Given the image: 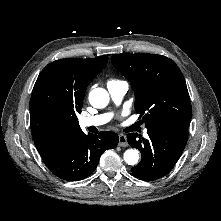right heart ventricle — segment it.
Segmentation results:
<instances>
[{"label":"right heart ventricle","instance_id":"1","mask_svg":"<svg viewBox=\"0 0 221 221\" xmlns=\"http://www.w3.org/2000/svg\"><path fill=\"white\" fill-rule=\"evenodd\" d=\"M109 82H115V80H111V81H109Z\"/></svg>","mask_w":221,"mask_h":221}]
</instances>
